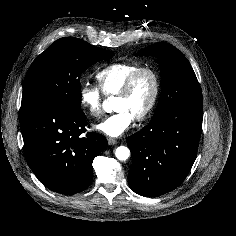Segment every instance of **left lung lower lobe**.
<instances>
[{"instance_id":"obj_1","label":"left lung lower lobe","mask_w":236,"mask_h":236,"mask_svg":"<svg viewBox=\"0 0 236 236\" xmlns=\"http://www.w3.org/2000/svg\"><path fill=\"white\" fill-rule=\"evenodd\" d=\"M201 131L202 105H189L166 111L128 137L131 189L156 197L177 188L194 163Z\"/></svg>"}]
</instances>
